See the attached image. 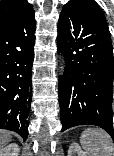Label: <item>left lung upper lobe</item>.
Returning <instances> with one entry per match:
<instances>
[{
  "label": "left lung upper lobe",
  "mask_w": 114,
  "mask_h": 156,
  "mask_svg": "<svg viewBox=\"0 0 114 156\" xmlns=\"http://www.w3.org/2000/svg\"><path fill=\"white\" fill-rule=\"evenodd\" d=\"M72 1L73 2H83V3H86V4L90 5L92 8H94L95 10H97L101 15H103V13H102L101 9L99 8V6L97 5V3L92 1V0H72Z\"/></svg>",
  "instance_id": "obj_1"
}]
</instances>
